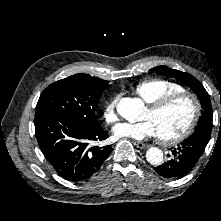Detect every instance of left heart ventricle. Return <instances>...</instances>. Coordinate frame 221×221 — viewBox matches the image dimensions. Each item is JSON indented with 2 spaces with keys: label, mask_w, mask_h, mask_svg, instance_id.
<instances>
[{
  "label": "left heart ventricle",
  "mask_w": 221,
  "mask_h": 221,
  "mask_svg": "<svg viewBox=\"0 0 221 221\" xmlns=\"http://www.w3.org/2000/svg\"><path fill=\"white\" fill-rule=\"evenodd\" d=\"M192 115V105L187 99L176 101L163 110L152 113L146 109L143 119L151 120L160 137H171L180 133Z\"/></svg>",
  "instance_id": "obj_1"
}]
</instances>
